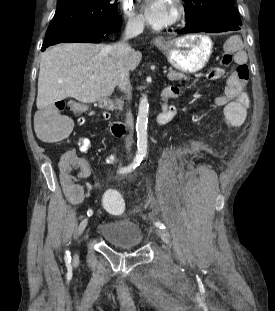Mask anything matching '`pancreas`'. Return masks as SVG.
Here are the masks:
<instances>
[{
  "label": "pancreas",
  "instance_id": "obj_1",
  "mask_svg": "<svg viewBox=\"0 0 275 311\" xmlns=\"http://www.w3.org/2000/svg\"><path fill=\"white\" fill-rule=\"evenodd\" d=\"M184 77L185 76L182 73L176 72L174 70H170L168 75H167V78L170 81H179V80H182ZM122 107H123L122 101L121 100H117V108L119 110H122Z\"/></svg>",
  "mask_w": 275,
  "mask_h": 311
}]
</instances>
